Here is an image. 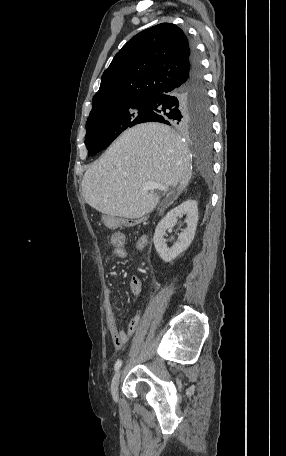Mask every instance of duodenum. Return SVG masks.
Segmentation results:
<instances>
[{
    "label": "duodenum",
    "mask_w": 286,
    "mask_h": 456,
    "mask_svg": "<svg viewBox=\"0 0 286 456\" xmlns=\"http://www.w3.org/2000/svg\"><path fill=\"white\" fill-rule=\"evenodd\" d=\"M119 220H121V222H120L121 224L126 225V226H134L136 224L134 218H131V219L120 218Z\"/></svg>",
    "instance_id": "1"
}]
</instances>
